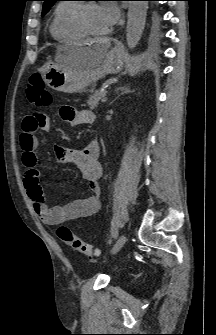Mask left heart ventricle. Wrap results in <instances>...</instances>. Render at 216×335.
Segmentation results:
<instances>
[{"mask_svg":"<svg viewBox=\"0 0 216 335\" xmlns=\"http://www.w3.org/2000/svg\"><path fill=\"white\" fill-rule=\"evenodd\" d=\"M86 21L92 31H107V26L102 16L100 6L98 4H93L88 8L86 14Z\"/></svg>","mask_w":216,"mask_h":335,"instance_id":"left-heart-ventricle-1","label":"left heart ventricle"}]
</instances>
